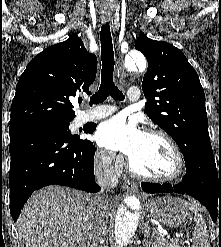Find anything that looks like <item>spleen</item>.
<instances>
[{
	"instance_id": "spleen-1",
	"label": "spleen",
	"mask_w": 221,
	"mask_h": 247,
	"mask_svg": "<svg viewBox=\"0 0 221 247\" xmlns=\"http://www.w3.org/2000/svg\"><path fill=\"white\" fill-rule=\"evenodd\" d=\"M194 220L196 226L193 233V247H211L208 239L207 226L202 215L195 211Z\"/></svg>"
}]
</instances>
